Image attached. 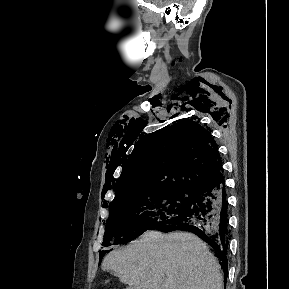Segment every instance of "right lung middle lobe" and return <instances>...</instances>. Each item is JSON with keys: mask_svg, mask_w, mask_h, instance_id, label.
<instances>
[{"mask_svg": "<svg viewBox=\"0 0 289 289\" xmlns=\"http://www.w3.org/2000/svg\"><path fill=\"white\" fill-rule=\"evenodd\" d=\"M192 199L185 189L138 195L110 206L103 246L129 242L183 213Z\"/></svg>", "mask_w": 289, "mask_h": 289, "instance_id": "1", "label": "right lung middle lobe"}]
</instances>
